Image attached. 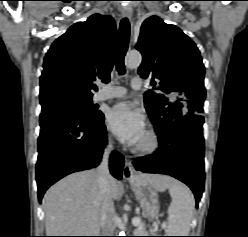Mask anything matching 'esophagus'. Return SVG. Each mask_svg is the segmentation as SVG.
I'll return each instance as SVG.
<instances>
[{
    "instance_id": "obj_1",
    "label": "esophagus",
    "mask_w": 248,
    "mask_h": 237,
    "mask_svg": "<svg viewBox=\"0 0 248 237\" xmlns=\"http://www.w3.org/2000/svg\"><path fill=\"white\" fill-rule=\"evenodd\" d=\"M121 12L122 15L127 18H130L132 15V9L130 7H123ZM135 177L136 171L133 167L132 161L126 158L123 168V178L127 181H133Z\"/></svg>"
}]
</instances>
